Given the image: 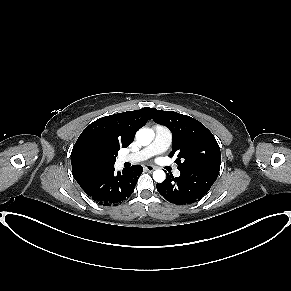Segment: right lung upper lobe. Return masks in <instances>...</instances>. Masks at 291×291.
Masks as SVG:
<instances>
[{
	"instance_id": "right-lung-upper-lobe-1",
	"label": "right lung upper lobe",
	"mask_w": 291,
	"mask_h": 291,
	"mask_svg": "<svg viewBox=\"0 0 291 291\" xmlns=\"http://www.w3.org/2000/svg\"><path fill=\"white\" fill-rule=\"evenodd\" d=\"M152 108L102 117L80 134L71 153L72 174L81 184L114 168L120 148L128 147L135 133L151 119Z\"/></svg>"
}]
</instances>
